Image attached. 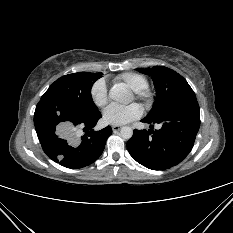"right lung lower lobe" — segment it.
Masks as SVG:
<instances>
[{
  "mask_svg": "<svg viewBox=\"0 0 233 233\" xmlns=\"http://www.w3.org/2000/svg\"><path fill=\"white\" fill-rule=\"evenodd\" d=\"M102 117L100 112L89 116H76L49 100H41L36 106L34 124L37 136L46 155L60 165L77 169L85 167L102 154L110 126L94 131L92 128ZM88 131L81 138L76 128Z\"/></svg>",
  "mask_w": 233,
  "mask_h": 233,
  "instance_id": "obj_1",
  "label": "right lung lower lobe"
}]
</instances>
